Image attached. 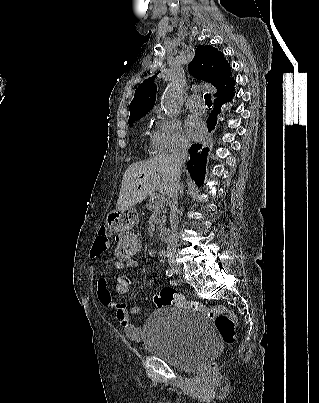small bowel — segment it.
I'll return each instance as SVG.
<instances>
[{"label": "small bowel", "instance_id": "1", "mask_svg": "<svg viewBox=\"0 0 319 403\" xmlns=\"http://www.w3.org/2000/svg\"><path fill=\"white\" fill-rule=\"evenodd\" d=\"M109 247V239H108V231L105 228H100L98 231L97 238L93 244V247L91 249L90 256L93 259H99L104 255V253L107 251ZM165 253L160 252L159 253V263L161 264L162 261L165 258ZM129 269V268H126ZM126 281L127 287L129 286V280L128 279H117L115 278L114 282H123ZM170 286H174L175 282L170 281L169 282ZM97 289H98V295L101 303L114 310L115 312V318L122 327L125 335L132 341L138 342L142 340L143 338V330L140 327H136L132 323V318L135 314L139 312L138 307H127L126 302L119 303L115 301V298L113 294L111 293V287L108 286V281L105 277H100L97 282ZM118 293V291H116Z\"/></svg>", "mask_w": 319, "mask_h": 403}]
</instances>
